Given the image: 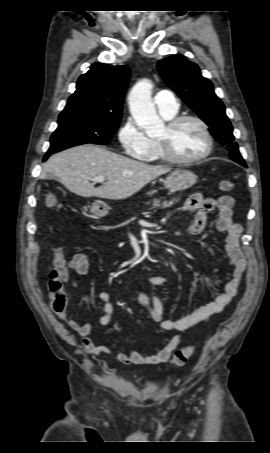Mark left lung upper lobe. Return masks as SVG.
I'll list each match as a JSON object with an SVG mask.
<instances>
[{
  "label": "left lung upper lobe",
  "instance_id": "left-lung-upper-lobe-1",
  "mask_svg": "<svg viewBox=\"0 0 270 453\" xmlns=\"http://www.w3.org/2000/svg\"><path fill=\"white\" fill-rule=\"evenodd\" d=\"M157 69L166 84L210 127L215 139L227 146L230 158L246 167L234 142L233 127L224 104L214 93L211 81L201 75L199 67L182 55H174L159 61Z\"/></svg>",
  "mask_w": 270,
  "mask_h": 453
}]
</instances>
